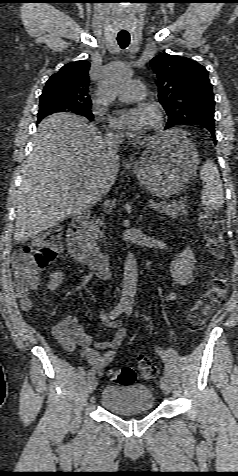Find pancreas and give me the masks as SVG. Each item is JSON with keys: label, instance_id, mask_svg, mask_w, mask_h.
Listing matches in <instances>:
<instances>
[{"label": "pancreas", "instance_id": "pancreas-1", "mask_svg": "<svg viewBox=\"0 0 238 476\" xmlns=\"http://www.w3.org/2000/svg\"><path fill=\"white\" fill-rule=\"evenodd\" d=\"M159 213H166L172 218H177L180 215L187 214V208L185 205V200L181 199L179 201L173 200L172 202L168 203L166 201H162L154 208ZM104 227L103 218L93 219L89 223V228L87 232V242L89 245L97 248V241H100L103 237V230L101 228Z\"/></svg>", "mask_w": 238, "mask_h": 476}]
</instances>
